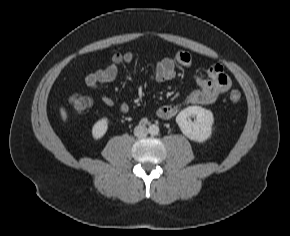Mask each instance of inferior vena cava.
<instances>
[{
  "mask_svg": "<svg viewBox=\"0 0 290 236\" xmlns=\"http://www.w3.org/2000/svg\"><path fill=\"white\" fill-rule=\"evenodd\" d=\"M148 134V129L144 125H138L134 128V135L136 137H145Z\"/></svg>",
  "mask_w": 290,
  "mask_h": 236,
  "instance_id": "602c4592",
  "label": "inferior vena cava"
}]
</instances>
